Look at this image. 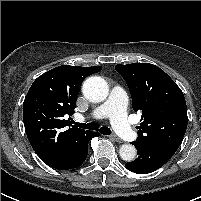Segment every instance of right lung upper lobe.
Masks as SVG:
<instances>
[{"instance_id":"1","label":"right lung upper lobe","mask_w":201,"mask_h":201,"mask_svg":"<svg viewBox=\"0 0 201 201\" xmlns=\"http://www.w3.org/2000/svg\"><path fill=\"white\" fill-rule=\"evenodd\" d=\"M101 66H58L39 76L23 103V121L28 140L47 165L67 159L89 130L72 125L76 97L83 80Z\"/></svg>"}]
</instances>
